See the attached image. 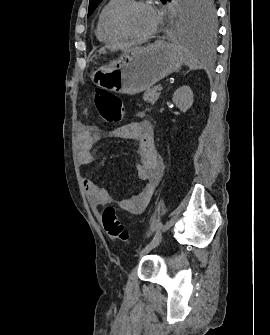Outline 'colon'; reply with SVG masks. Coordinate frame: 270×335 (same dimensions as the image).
<instances>
[{
    "instance_id": "colon-1",
    "label": "colon",
    "mask_w": 270,
    "mask_h": 335,
    "mask_svg": "<svg viewBox=\"0 0 270 335\" xmlns=\"http://www.w3.org/2000/svg\"><path fill=\"white\" fill-rule=\"evenodd\" d=\"M91 97L104 122L115 124L122 119L124 107L116 94H112L107 89L93 88L91 90ZM102 221L105 231L112 238L126 245H130L131 238L129 232L112 206L105 207L102 214Z\"/></svg>"
}]
</instances>
